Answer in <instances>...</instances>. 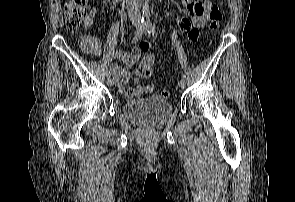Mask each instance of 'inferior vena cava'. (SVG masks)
I'll return each mask as SVG.
<instances>
[{
	"mask_svg": "<svg viewBox=\"0 0 295 202\" xmlns=\"http://www.w3.org/2000/svg\"><path fill=\"white\" fill-rule=\"evenodd\" d=\"M128 16L131 20H137L141 18L140 10L136 4V0H126Z\"/></svg>",
	"mask_w": 295,
	"mask_h": 202,
	"instance_id": "602c4592",
	"label": "inferior vena cava"
}]
</instances>
